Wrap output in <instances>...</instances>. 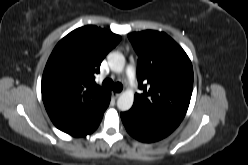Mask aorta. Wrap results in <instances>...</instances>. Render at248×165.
Masks as SVG:
<instances>
[{
  "label": "aorta",
  "mask_w": 248,
  "mask_h": 165,
  "mask_svg": "<svg viewBox=\"0 0 248 165\" xmlns=\"http://www.w3.org/2000/svg\"><path fill=\"white\" fill-rule=\"evenodd\" d=\"M108 65L113 72L121 73L125 67V58L119 52H111L107 56ZM134 102V93L131 90L124 91L117 100V107L121 111L129 110Z\"/></svg>",
  "instance_id": "obj_1"
}]
</instances>
